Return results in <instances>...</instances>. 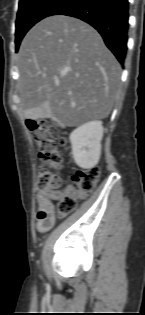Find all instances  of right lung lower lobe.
Returning <instances> with one entry per match:
<instances>
[{"label": "right lung lower lobe", "instance_id": "right-lung-lower-lobe-1", "mask_svg": "<svg viewBox=\"0 0 145 315\" xmlns=\"http://www.w3.org/2000/svg\"><path fill=\"white\" fill-rule=\"evenodd\" d=\"M52 15L79 18L93 26L106 46L123 64L127 51L128 0H66Z\"/></svg>", "mask_w": 145, "mask_h": 315}]
</instances>
